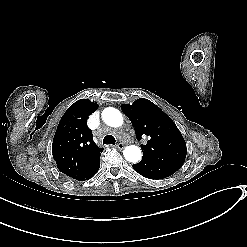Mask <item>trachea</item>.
Listing matches in <instances>:
<instances>
[{
    "label": "trachea",
    "instance_id": "obj_1",
    "mask_svg": "<svg viewBox=\"0 0 247 247\" xmlns=\"http://www.w3.org/2000/svg\"><path fill=\"white\" fill-rule=\"evenodd\" d=\"M116 140L112 135H106L103 139V144L115 145Z\"/></svg>",
    "mask_w": 247,
    "mask_h": 247
}]
</instances>
